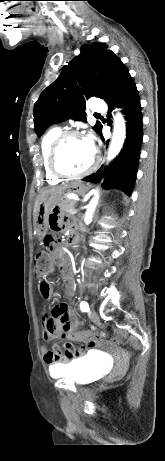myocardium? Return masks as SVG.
<instances>
[{
  "instance_id": "myocardium-1",
  "label": "myocardium",
  "mask_w": 165,
  "mask_h": 461,
  "mask_svg": "<svg viewBox=\"0 0 165 461\" xmlns=\"http://www.w3.org/2000/svg\"><path fill=\"white\" fill-rule=\"evenodd\" d=\"M72 137H83V135L76 130H66L61 133L54 139L52 142L49 152H48V168L50 172L59 177L67 179H77L82 178L90 173H92L99 163V156L96 151H94V157L91 164L83 171L78 173H68L63 171L58 165V154L59 151L66 140Z\"/></svg>"
}]
</instances>
